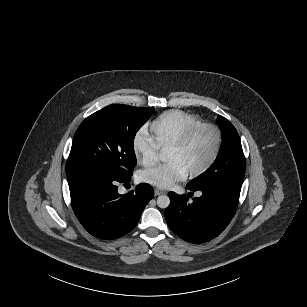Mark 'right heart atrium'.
<instances>
[{
	"mask_svg": "<svg viewBox=\"0 0 307 307\" xmlns=\"http://www.w3.org/2000/svg\"><path fill=\"white\" fill-rule=\"evenodd\" d=\"M132 150L136 161L145 167L153 166L159 157L158 146L147 136L135 138Z\"/></svg>",
	"mask_w": 307,
	"mask_h": 307,
	"instance_id": "obj_1",
	"label": "right heart atrium"
}]
</instances>
